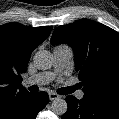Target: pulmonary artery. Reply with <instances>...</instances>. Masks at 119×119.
Segmentation results:
<instances>
[{"label":"pulmonary artery","mask_w":119,"mask_h":119,"mask_svg":"<svg viewBox=\"0 0 119 119\" xmlns=\"http://www.w3.org/2000/svg\"><path fill=\"white\" fill-rule=\"evenodd\" d=\"M54 67L55 71L63 70L72 57V50L68 46H58L54 49ZM55 76L54 72H44L29 77L24 81V85H44L53 80ZM84 92L79 91L77 97L83 98Z\"/></svg>","instance_id":"e3ab8cb5"}]
</instances>
